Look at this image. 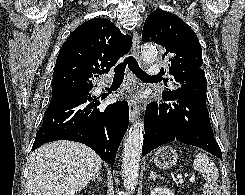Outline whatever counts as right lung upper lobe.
<instances>
[{"label":"right lung upper lobe","instance_id":"1","mask_svg":"<svg viewBox=\"0 0 245 195\" xmlns=\"http://www.w3.org/2000/svg\"><path fill=\"white\" fill-rule=\"evenodd\" d=\"M131 46V37L107 19L95 18L78 26L58 54L52 96L93 86V78L108 73Z\"/></svg>","mask_w":245,"mask_h":195}]
</instances>
